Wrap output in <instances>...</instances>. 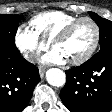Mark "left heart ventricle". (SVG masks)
I'll return each instance as SVG.
<instances>
[{"instance_id": "left-heart-ventricle-1", "label": "left heart ventricle", "mask_w": 112, "mask_h": 112, "mask_svg": "<svg viewBox=\"0 0 112 112\" xmlns=\"http://www.w3.org/2000/svg\"><path fill=\"white\" fill-rule=\"evenodd\" d=\"M94 30L92 25L87 22H80L70 32L68 37L58 42L54 50L59 51L66 60L80 58L89 48L93 41Z\"/></svg>"}]
</instances>
